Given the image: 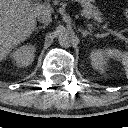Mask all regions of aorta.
<instances>
[{"label": "aorta", "mask_w": 128, "mask_h": 128, "mask_svg": "<svg viewBox=\"0 0 128 128\" xmlns=\"http://www.w3.org/2000/svg\"><path fill=\"white\" fill-rule=\"evenodd\" d=\"M58 41L62 47H69L74 41V35L72 32L63 29L59 34Z\"/></svg>", "instance_id": "obj_1"}]
</instances>
